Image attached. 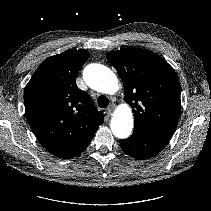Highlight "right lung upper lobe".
Here are the masks:
<instances>
[{
  "label": "right lung upper lobe",
  "mask_w": 211,
  "mask_h": 211,
  "mask_svg": "<svg viewBox=\"0 0 211 211\" xmlns=\"http://www.w3.org/2000/svg\"><path fill=\"white\" fill-rule=\"evenodd\" d=\"M88 51L70 49L37 68L24 91L27 121L42 146L67 159L86 146L103 123L90 96L76 85Z\"/></svg>",
  "instance_id": "obj_1"
}]
</instances>
